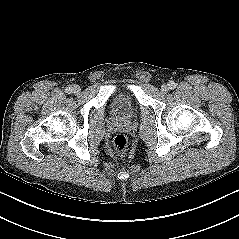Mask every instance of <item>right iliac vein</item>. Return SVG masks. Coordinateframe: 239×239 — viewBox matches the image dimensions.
I'll list each match as a JSON object with an SVG mask.
<instances>
[{
  "mask_svg": "<svg viewBox=\"0 0 239 239\" xmlns=\"http://www.w3.org/2000/svg\"><path fill=\"white\" fill-rule=\"evenodd\" d=\"M73 92H74L75 94H79V93L81 92L80 86H79V85H74V87H73Z\"/></svg>",
  "mask_w": 239,
  "mask_h": 239,
  "instance_id": "63e3f726",
  "label": "right iliac vein"
}]
</instances>
